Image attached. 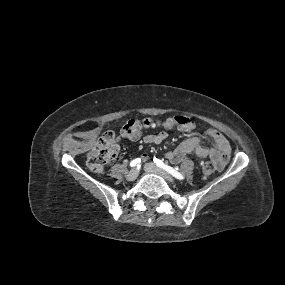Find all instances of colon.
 <instances>
[{
    "label": "colon",
    "instance_id": "obj_1",
    "mask_svg": "<svg viewBox=\"0 0 285 285\" xmlns=\"http://www.w3.org/2000/svg\"><path fill=\"white\" fill-rule=\"evenodd\" d=\"M153 125H170L183 132L193 131L195 124L187 115H176L163 121L155 122L153 119H131L120 129L118 135L113 132L105 133L97 140L87 154V166L96 173L102 172L116 157L118 142L121 140H137L143 128ZM216 171L214 162L208 161L202 165L203 179H208Z\"/></svg>",
    "mask_w": 285,
    "mask_h": 285
}]
</instances>
